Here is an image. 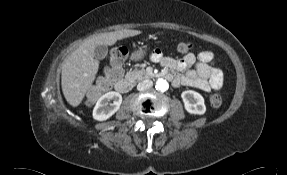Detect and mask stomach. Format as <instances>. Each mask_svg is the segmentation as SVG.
<instances>
[{
	"instance_id": "0dacf381",
	"label": "stomach",
	"mask_w": 287,
	"mask_h": 175,
	"mask_svg": "<svg viewBox=\"0 0 287 175\" xmlns=\"http://www.w3.org/2000/svg\"><path fill=\"white\" fill-rule=\"evenodd\" d=\"M144 53H145V49L140 48L133 53V58L139 59L144 55Z\"/></svg>"
}]
</instances>
